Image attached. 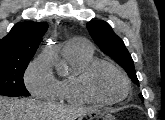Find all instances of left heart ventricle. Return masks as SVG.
<instances>
[{
	"label": "left heart ventricle",
	"mask_w": 165,
	"mask_h": 120,
	"mask_svg": "<svg viewBox=\"0 0 165 120\" xmlns=\"http://www.w3.org/2000/svg\"><path fill=\"white\" fill-rule=\"evenodd\" d=\"M95 92L106 99L118 98L124 93L125 85L121 76L110 67H101L92 80Z\"/></svg>",
	"instance_id": "b2bd125f"
}]
</instances>
